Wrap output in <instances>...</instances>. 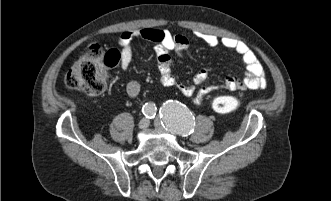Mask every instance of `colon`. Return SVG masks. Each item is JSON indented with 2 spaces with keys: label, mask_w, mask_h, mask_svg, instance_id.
Masks as SVG:
<instances>
[{
  "label": "colon",
  "mask_w": 331,
  "mask_h": 201,
  "mask_svg": "<svg viewBox=\"0 0 331 201\" xmlns=\"http://www.w3.org/2000/svg\"><path fill=\"white\" fill-rule=\"evenodd\" d=\"M118 61L116 50H103L98 45H92L69 69L65 84L89 96L103 95L108 90V68ZM241 103L240 95L218 96L213 99L212 108L217 113H230L237 110Z\"/></svg>",
  "instance_id": "colon-1"
}]
</instances>
